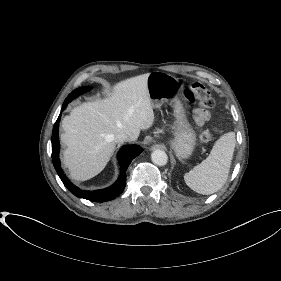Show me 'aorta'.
I'll use <instances>...</instances> for the list:
<instances>
[{
	"instance_id": "762f6f07",
	"label": "aorta",
	"mask_w": 281,
	"mask_h": 281,
	"mask_svg": "<svg viewBox=\"0 0 281 281\" xmlns=\"http://www.w3.org/2000/svg\"><path fill=\"white\" fill-rule=\"evenodd\" d=\"M151 159L154 164L158 166H164L168 162V156L163 150H155L151 154Z\"/></svg>"
}]
</instances>
